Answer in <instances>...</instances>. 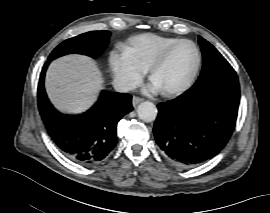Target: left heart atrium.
Returning <instances> with one entry per match:
<instances>
[{"mask_svg":"<svg viewBox=\"0 0 270 213\" xmlns=\"http://www.w3.org/2000/svg\"><path fill=\"white\" fill-rule=\"evenodd\" d=\"M149 91L155 93V92L159 91V88L152 83L149 87Z\"/></svg>","mask_w":270,"mask_h":213,"instance_id":"39dd6f15","label":"left heart atrium"}]
</instances>
